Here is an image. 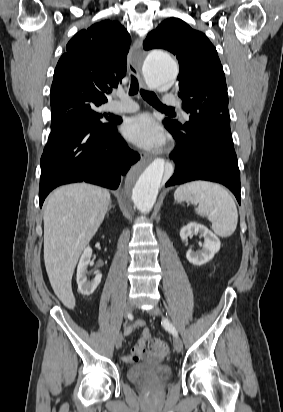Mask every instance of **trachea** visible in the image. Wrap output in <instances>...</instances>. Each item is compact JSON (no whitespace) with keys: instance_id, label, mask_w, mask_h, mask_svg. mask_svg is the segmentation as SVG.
Here are the masks:
<instances>
[{"instance_id":"3493384b","label":"trachea","mask_w":283,"mask_h":412,"mask_svg":"<svg viewBox=\"0 0 283 412\" xmlns=\"http://www.w3.org/2000/svg\"><path fill=\"white\" fill-rule=\"evenodd\" d=\"M139 91V83L138 80L136 79V77L131 76V84H130V90H129V95H135L137 94ZM140 94L142 96V98L148 102L149 104L159 108V109H163V110H167L170 112H174V108L172 107H167L165 105H163L157 98V96L155 95V93L151 92V91H147L144 89H140Z\"/></svg>"}]
</instances>
